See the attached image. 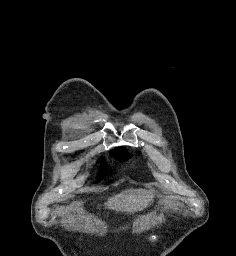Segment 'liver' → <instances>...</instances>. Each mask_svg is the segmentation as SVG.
<instances>
[{
  "instance_id": "obj_1",
  "label": "liver",
  "mask_w": 236,
  "mask_h": 256,
  "mask_svg": "<svg viewBox=\"0 0 236 256\" xmlns=\"http://www.w3.org/2000/svg\"><path fill=\"white\" fill-rule=\"evenodd\" d=\"M153 194L148 190H126L110 198L105 206L116 212H140L152 202Z\"/></svg>"
}]
</instances>
